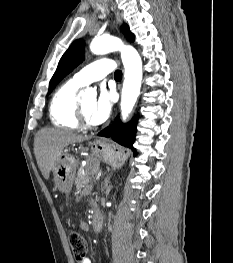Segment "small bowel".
Listing matches in <instances>:
<instances>
[{
    "mask_svg": "<svg viewBox=\"0 0 233 263\" xmlns=\"http://www.w3.org/2000/svg\"><path fill=\"white\" fill-rule=\"evenodd\" d=\"M79 263H92L91 259L88 257H85L84 259H82L81 261H79Z\"/></svg>",
    "mask_w": 233,
    "mask_h": 263,
    "instance_id": "obj_1",
    "label": "small bowel"
}]
</instances>
